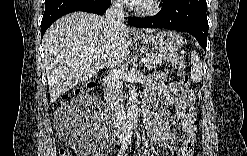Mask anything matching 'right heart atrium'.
<instances>
[{
  "label": "right heart atrium",
  "instance_id": "1",
  "mask_svg": "<svg viewBox=\"0 0 247 156\" xmlns=\"http://www.w3.org/2000/svg\"><path fill=\"white\" fill-rule=\"evenodd\" d=\"M116 4H117V5H120V3H119V2H116Z\"/></svg>",
  "mask_w": 247,
  "mask_h": 156
}]
</instances>
